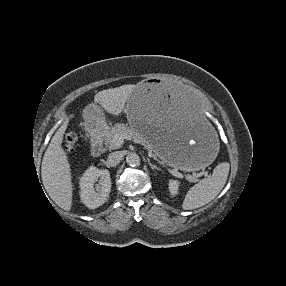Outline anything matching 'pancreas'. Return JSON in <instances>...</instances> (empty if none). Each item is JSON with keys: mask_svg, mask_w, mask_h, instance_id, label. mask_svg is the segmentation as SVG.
<instances>
[{"mask_svg": "<svg viewBox=\"0 0 286 286\" xmlns=\"http://www.w3.org/2000/svg\"><path fill=\"white\" fill-rule=\"evenodd\" d=\"M117 134L128 136L130 140H133L137 143H141L147 150L152 151V146L142 135L134 132L126 125L119 123L111 129H105L102 133V139L104 141V144L109 150L117 149L120 147L114 143V138ZM188 178L191 182H195L197 180L195 176H189Z\"/></svg>", "mask_w": 286, "mask_h": 286, "instance_id": "pancreas-1", "label": "pancreas"}]
</instances>
